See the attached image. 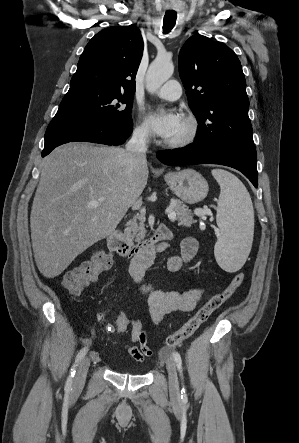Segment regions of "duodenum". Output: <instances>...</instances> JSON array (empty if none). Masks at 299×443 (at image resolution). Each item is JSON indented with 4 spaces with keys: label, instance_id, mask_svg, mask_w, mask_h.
Wrapping results in <instances>:
<instances>
[{
    "label": "duodenum",
    "instance_id": "410a0bca",
    "mask_svg": "<svg viewBox=\"0 0 299 443\" xmlns=\"http://www.w3.org/2000/svg\"><path fill=\"white\" fill-rule=\"evenodd\" d=\"M170 238L169 229L165 226H159L149 239L140 243L128 241L118 231H112L108 235L107 243L109 249L120 257L132 259L134 264L149 267L156 256L166 249L165 241Z\"/></svg>",
    "mask_w": 299,
    "mask_h": 443
}]
</instances>
